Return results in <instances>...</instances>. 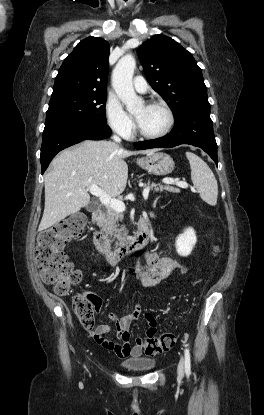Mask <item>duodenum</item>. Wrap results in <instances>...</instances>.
Instances as JSON below:
<instances>
[{"label":"duodenum","instance_id":"duodenum-1","mask_svg":"<svg viewBox=\"0 0 264 415\" xmlns=\"http://www.w3.org/2000/svg\"><path fill=\"white\" fill-rule=\"evenodd\" d=\"M105 220L106 213L103 206H99L92 212L95 247L110 266L121 264L133 252L149 243L151 239L152 233L149 228V219L147 217H141L138 222L136 234L126 238L118 248L113 249L104 232Z\"/></svg>","mask_w":264,"mask_h":415}]
</instances>
